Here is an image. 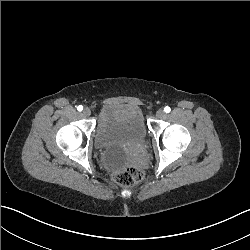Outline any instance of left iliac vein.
Instances as JSON below:
<instances>
[{"label": "left iliac vein", "instance_id": "1", "mask_svg": "<svg viewBox=\"0 0 250 250\" xmlns=\"http://www.w3.org/2000/svg\"><path fill=\"white\" fill-rule=\"evenodd\" d=\"M156 116H157V118H159V119H163V118L165 117V112H164L162 109H158V110L156 111Z\"/></svg>", "mask_w": 250, "mask_h": 250}]
</instances>
